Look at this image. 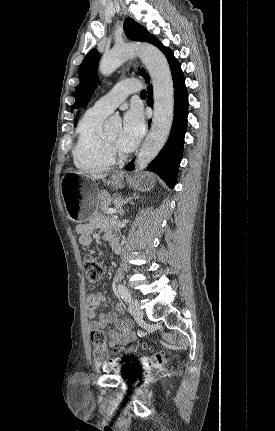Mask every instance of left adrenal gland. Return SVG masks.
Masks as SVG:
<instances>
[{
    "label": "left adrenal gland",
    "instance_id": "1",
    "mask_svg": "<svg viewBox=\"0 0 275 431\" xmlns=\"http://www.w3.org/2000/svg\"><path fill=\"white\" fill-rule=\"evenodd\" d=\"M137 198H139V197L137 196L135 199H137ZM129 200H131V198H129V199L117 198L116 199V201H115L116 202V208L118 209V213L120 216L124 215V210L122 208L123 204H125Z\"/></svg>",
    "mask_w": 275,
    "mask_h": 431
}]
</instances>
